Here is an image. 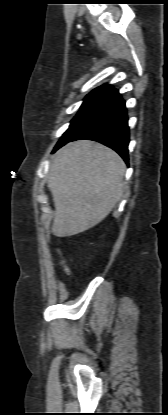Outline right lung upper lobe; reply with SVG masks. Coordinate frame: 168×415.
<instances>
[{
  "instance_id": "obj_1",
  "label": "right lung upper lobe",
  "mask_w": 168,
  "mask_h": 415,
  "mask_svg": "<svg viewBox=\"0 0 168 415\" xmlns=\"http://www.w3.org/2000/svg\"><path fill=\"white\" fill-rule=\"evenodd\" d=\"M111 88L110 85H103L100 87H97L96 89H94L93 91H91L90 94H94V95H101L102 93H104L107 89Z\"/></svg>"
}]
</instances>
